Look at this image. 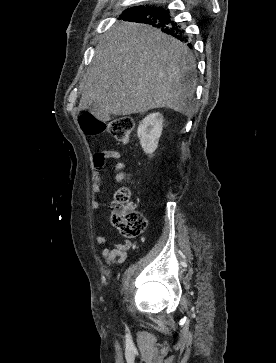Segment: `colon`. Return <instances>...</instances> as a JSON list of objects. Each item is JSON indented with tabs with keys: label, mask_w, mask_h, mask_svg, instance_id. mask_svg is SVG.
I'll return each instance as SVG.
<instances>
[{
	"label": "colon",
	"mask_w": 276,
	"mask_h": 363,
	"mask_svg": "<svg viewBox=\"0 0 276 363\" xmlns=\"http://www.w3.org/2000/svg\"><path fill=\"white\" fill-rule=\"evenodd\" d=\"M134 125V119L129 116H120L108 121H101L89 113L80 116V126L86 134L94 136L108 132L119 144L129 143ZM129 198L130 191L127 188H121L116 192L111 205L110 220L122 235L133 238L143 232L146 221L140 212L128 205Z\"/></svg>",
	"instance_id": "colon-1"
}]
</instances>
